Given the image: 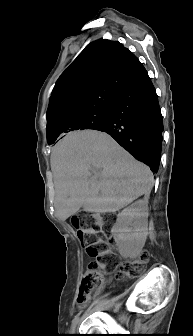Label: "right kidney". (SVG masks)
Wrapping results in <instances>:
<instances>
[{"label":"right kidney","instance_id":"1","mask_svg":"<svg viewBox=\"0 0 193 336\" xmlns=\"http://www.w3.org/2000/svg\"><path fill=\"white\" fill-rule=\"evenodd\" d=\"M113 232L120 254L138 255L148 235V201L138 200L122 210Z\"/></svg>","mask_w":193,"mask_h":336}]
</instances>
